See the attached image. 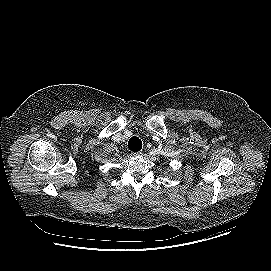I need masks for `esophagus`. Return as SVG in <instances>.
Wrapping results in <instances>:
<instances>
[{"mask_svg": "<svg viewBox=\"0 0 271 271\" xmlns=\"http://www.w3.org/2000/svg\"><path fill=\"white\" fill-rule=\"evenodd\" d=\"M141 154V152L132 153L133 156H140Z\"/></svg>", "mask_w": 271, "mask_h": 271, "instance_id": "34e87169", "label": "esophagus"}]
</instances>
